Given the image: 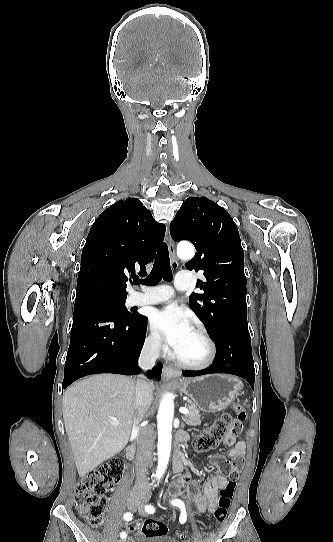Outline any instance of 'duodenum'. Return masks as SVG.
Masks as SVG:
<instances>
[{"mask_svg": "<svg viewBox=\"0 0 333 542\" xmlns=\"http://www.w3.org/2000/svg\"><path fill=\"white\" fill-rule=\"evenodd\" d=\"M187 440V436L184 435V434H179L177 437H176V442H175V453H174V458H173V470L175 473H180L181 470H182V451H181V446L183 444V442H185ZM135 452H136V449H135V446H130L127 450V457L129 460H133L134 457H135Z\"/></svg>", "mask_w": 333, "mask_h": 542, "instance_id": "410a0bca", "label": "duodenum"}]
</instances>
